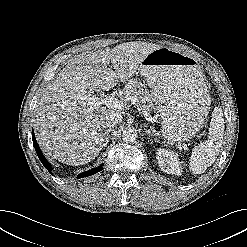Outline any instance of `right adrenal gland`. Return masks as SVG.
Wrapping results in <instances>:
<instances>
[{
	"label": "right adrenal gland",
	"instance_id": "2a0ac1e0",
	"mask_svg": "<svg viewBox=\"0 0 247 247\" xmlns=\"http://www.w3.org/2000/svg\"><path fill=\"white\" fill-rule=\"evenodd\" d=\"M112 131V128L108 129L106 132H105V143H104V147L107 146L108 142H109V134L110 132Z\"/></svg>",
	"mask_w": 247,
	"mask_h": 247
}]
</instances>
